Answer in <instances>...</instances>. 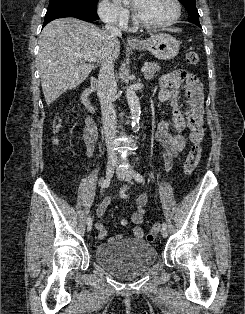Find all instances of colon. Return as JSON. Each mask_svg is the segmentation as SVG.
Returning a JSON list of instances; mask_svg holds the SVG:
<instances>
[{"mask_svg": "<svg viewBox=\"0 0 245 314\" xmlns=\"http://www.w3.org/2000/svg\"><path fill=\"white\" fill-rule=\"evenodd\" d=\"M186 62L189 65H195L199 62V55L198 53L194 52V51H190L187 53L186 55ZM64 127V123L62 118L57 117L54 121V130L55 132H60ZM201 154H202V148L201 145L199 143H195L186 159L184 162V166H183V171L186 175L191 174L195 168L197 167V165L199 164L200 158H201ZM161 229V224L160 223H155L153 224V226L151 227V230L149 231V233L146 235V240L147 241H153L155 236L158 234V232Z\"/></svg>", "mask_w": 245, "mask_h": 314, "instance_id": "5ec220e1", "label": "colon"}]
</instances>
